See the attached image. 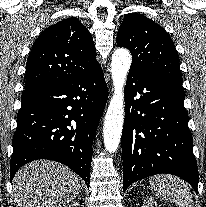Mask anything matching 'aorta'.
I'll return each mask as SVG.
<instances>
[{"instance_id":"1","label":"aorta","mask_w":206,"mask_h":207,"mask_svg":"<svg viewBox=\"0 0 206 207\" xmlns=\"http://www.w3.org/2000/svg\"><path fill=\"white\" fill-rule=\"evenodd\" d=\"M131 65V54L126 49H117L112 55L111 74L114 93L109 103L103 127L106 150L114 153L119 147L124 121V85Z\"/></svg>"}]
</instances>
